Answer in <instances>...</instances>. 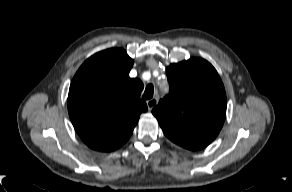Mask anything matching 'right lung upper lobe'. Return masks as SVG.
<instances>
[{
	"label": "right lung upper lobe",
	"instance_id": "obj_1",
	"mask_svg": "<svg viewBox=\"0 0 292 192\" xmlns=\"http://www.w3.org/2000/svg\"><path fill=\"white\" fill-rule=\"evenodd\" d=\"M133 60L121 48L88 58L72 79L68 112L77 134L90 148L109 152L130 138L140 114L142 82L129 77Z\"/></svg>",
	"mask_w": 292,
	"mask_h": 192
}]
</instances>
